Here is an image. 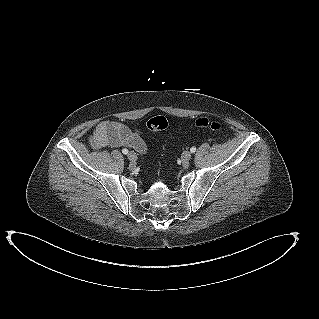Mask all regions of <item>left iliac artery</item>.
Listing matches in <instances>:
<instances>
[{"label": "left iliac artery", "instance_id": "obj_1", "mask_svg": "<svg viewBox=\"0 0 319 319\" xmlns=\"http://www.w3.org/2000/svg\"><path fill=\"white\" fill-rule=\"evenodd\" d=\"M190 151H191V153H194V152L196 151V147H192V148L190 149Z\"/></svg>", "mask_w": 319, "mask_h": 319}]
</instances>
